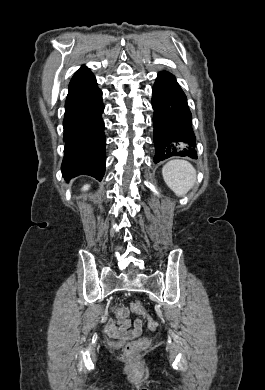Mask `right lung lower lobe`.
<instances>
[{"label": "right lung lower lobe", "instance_id": "obj_1", "mask_svg": "<svg viewBox=\"0 0 265 390\" xmlns=\"http://www.w3.org/2000/svg\"><path fill=\"white\" fill-rule=\"evenodd\" d=\"M103 110L102 92L95 76L83 66L72 77L65 102L63 177L103 178L106 160Z\"/></svg>", "mask_w": 265, "mask_h": 390}]
</instances>
